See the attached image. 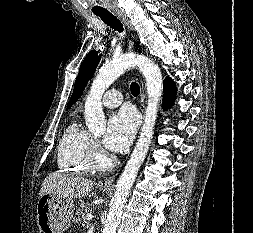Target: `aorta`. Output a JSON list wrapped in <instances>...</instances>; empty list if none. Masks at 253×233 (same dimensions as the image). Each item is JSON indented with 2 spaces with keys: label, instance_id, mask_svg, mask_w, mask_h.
<instances>
[{
  "label": "aorta",
  "instance_id": "aorta-1",
  "mask_svg": "<svg viewBox=\"0 0 253 233\" xmlns=\"http://www.w3.org/2000/svg\"><path fill=\"white\" fill-rule=\"evenodd\" d=\"M131 67H138L146 79L148 100L145 118L136 146L117 182L102 233H115L121 220L123 206L150 147L163 89L161 71L151 59L144 55H123L101 67L85 100L84 115L89 131L95 134L104 133L106 121L101 103L102 95L126 69Z\"/></svg>",
  "mask_w": 253,
  "mask_h": 233
}]
</instances>
